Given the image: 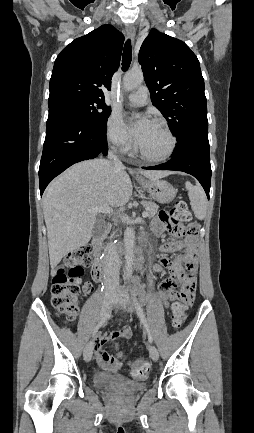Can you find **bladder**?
Wrapping results in <instances>:
<instances>
[{"label": "bladder", "instance_id": "obj_1", "mask_svg": "<svg viewBox=\"0 0 254 433\" xmlns=\"http://www.w3.org/2000/svg\"><path fill=\"white\" fill-rule=\"evenodd\" d=\"M120 379H112L106 374H97L94 376V383L97 388L101 390H109L114 383L119 382ZM143 382H131L127 385L129 395H134L144 388Z\"/></svg>", "mask_w": 254, "mask_h": 433}]
</instances>
